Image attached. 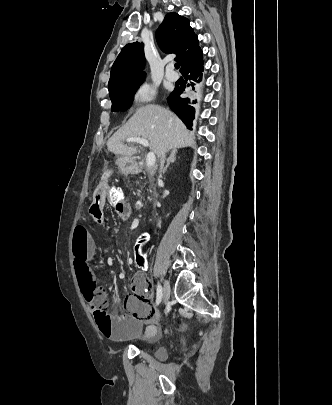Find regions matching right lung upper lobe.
<instances>
[{
    "mask_svg": "<svg viewBox=\"0 0 332 405\" xmlns=\"http://www.w3.org/2000/svg\"><path fill=\"white\" fill-rule=\"evenodd\" d=\"M156 38L165 53L177 55L176 60L181 63V72L202 58V50L197 36L189 25V20L177 13L165 16L156 31ZM143 46L142 43L134 42L121 50L111 69L109 90L119 83L144 78Z\"/></svg>",
    "mask_w": 332,
    "mask_h": 405,
    "instance_id": "right-lung-upper-lobe-1",
    "label": "right lung upper lobe"
}]
</instances>
